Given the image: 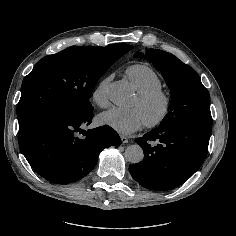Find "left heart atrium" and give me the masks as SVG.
<instances>
[{
	"instance_id": "obj_1",
	"label": "left heart atrium",
	"mask_w": 236,
	"mask_h": 236,
	"mask_svg": "<svg viewBox=\"0 0 236 236\" xmlns=\"http://www.w3.org/2000/svg\"><path fill=\"white\" fill-rule=\"evenodd\" d=\"M102 124L109 126L122 135L132 134L145 126V119L136 108L122 109L112 107L99 116Z\"/></svg>"
}]
</instances>
